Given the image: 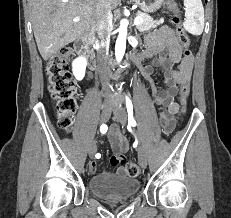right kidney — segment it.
<instances>
[{"instance_id": "1", "label": "right kidney", "mask_w": 231, "mask_h": 218, "mask_svg": "<svg viewBox=\"0 0 231 218\" xmlns=\"http://www.w3.org/2000/svg\"><path fill=\"white\" fill-rule=\"evenodd\" d=\"M87 61L84 57H79L73 61L72 70L77 80H82L85 76Z\"/></svg>"}]
</instances>
